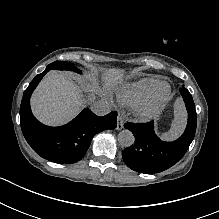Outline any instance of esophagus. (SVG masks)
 <instances>
[{"label": "esophagus", "instance_id": "obj_1", "mask_svg": "<svg viewBox=\"0 0 219 219\" xmlns=\"http://www.w3.org/2000/svg\"><path fill=\"white\" fill-rule=\"evenodd\" d=\"M123 126H124V119H123L122 115L119 114L118 117H117V127H116V129L121 130V129H123Z\"/></svg>", "mask_w": 219, "mask_h": 219}]
</instances>
